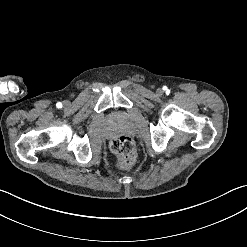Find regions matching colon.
<instances>
[{
	"mask_svg": "<svg viewBox=\"0 0 247 247\" xmlns=\"http://www.w3.org/2000/svg\"><path fill=\"white\" fill-rule=\"evenodd\" d=\"M112 148L118 155L120 169L129 168L136 160V150L132 141L127 136H120L112 142Z\"/></svg>",
	"mask_w": 247,
	"mask_h": 247,
	"instance_id": "5ec220e1",
	"label": "colon"
}]
</instances>
